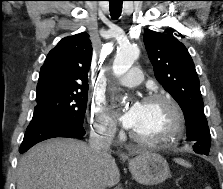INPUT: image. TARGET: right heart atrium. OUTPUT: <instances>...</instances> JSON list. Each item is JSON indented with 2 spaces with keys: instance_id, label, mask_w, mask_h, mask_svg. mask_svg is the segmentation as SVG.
Masks as SVG:
<instances>
[{
  "instance_id": "d8ad5b80",
  "label": "right heart atrium",
  "mask_w": 223,
  "mask_h": 189,
  "mask_svg": "<svg viewBox=\"0 0 223 189\" xmlns=\"http://www.w3.org/2000/svg\"><path fill=\"white\" fill-rule=\"evenodd\" d=\"M92 130L101 137L110 138L116 131V123L106 106L99 100H92L88 107Z\"/></svg>"
}]
</instances>
